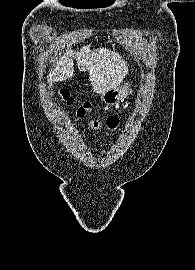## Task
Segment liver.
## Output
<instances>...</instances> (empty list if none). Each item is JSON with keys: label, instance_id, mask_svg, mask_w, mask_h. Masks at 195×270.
Listing matches in <instances>:
<instances>
[{"label": "liver", "instance_id": "1", "mask_svg": "<svg viewBox=\"0 0 195 270\" xmlns=\"http://www.w3.org/2000/svg\"><path fill=\"white\" fill-rule=\"evenodd\" d=\"M75 56L80 71L89 72L92 89L96 93L117 88L128 74V65L122 57L108 49L98 48L91 51L89 46H84L79 52L69 50L64 53L56 63L55 68L49 73V83L64 81L74 73L72 57Z\"/></svg>", "mask_w": 195, "mask_h": 270}]
</instances>
